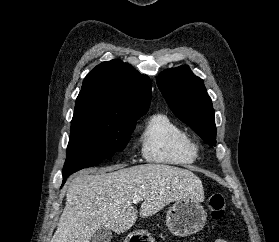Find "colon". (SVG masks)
I'll list each match as a JSON object with an SVG mask.
<instances>
[{
    "mask_svg": "<svg viewBox=\"0 0 279 242\" xmlns=\"http://www.w3.org/2000/svg\"><path fill=\"white\" fill-rule=\"evenodd\" d=\"M207 208L213 220L223 219L225 214V198L221 193L211 194L206 201Z\"/></svg>",
    "mask_w": 279,
    "mask_h": 242,
    "instance_id": "colon-1",
    "label": "colon"
}]
</instances>
